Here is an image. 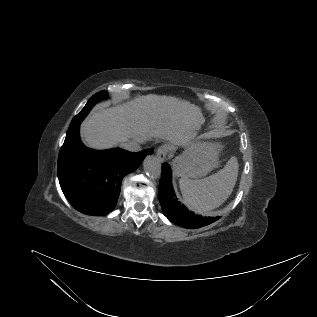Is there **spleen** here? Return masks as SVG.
<instances>
[{"label": "spleen", "instance_id": "obj_1", "mask_svg": "<svg viewBox=\"0 0 317 317\" xmlns=\"http://www.w3.org/2000/svg\"><path fill=\"white\" fill-rule=\"evenodd\" d=\"M238 161L231 157L223 169L200 180L182 177L180 190L187 206L206 214L219 207L231 195L238 176Z\"/></svg>", "mask_w": 317, "mask_h": 317}]
</instances>
